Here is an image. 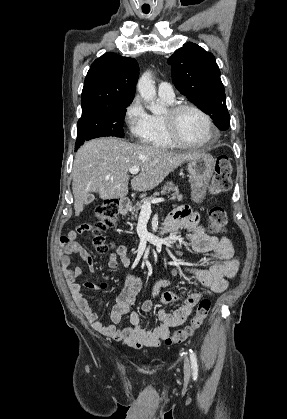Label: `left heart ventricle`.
<instances>
[{
    "label": "left heart ventricle",
    "instance_id": "b2bd125f",
    "mask_svg": "<svg viewBox=\"0 0 287 419\" xmlns=\"http://www.w3.org/2000/svg\"><path fill=\"white\" fill-rule=\"evenodd\" d=\"M168 110L164 114L166 116ZM179 135L187 142L200 143L209 136V128L204 118L196 111L186 109L180 112L176 119Z\"/></svg>",
    "mask_w": 287,
    "mask_h": 419
}]
</instances>
